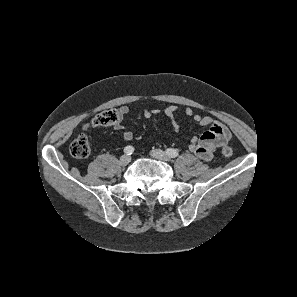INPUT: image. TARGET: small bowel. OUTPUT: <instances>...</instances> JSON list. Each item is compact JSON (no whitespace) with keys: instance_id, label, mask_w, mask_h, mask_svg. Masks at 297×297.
I'll list each match as a JSON object with an SVG mask.
<instances>
[{"instance_id":"c3829d8e","label":"small bowel","mask_w":297,"mask_h":297,"mask_svg":"<svg viewBox=\"0 0 297 297\" xmlns=\"http://www.w3.org/2000/svg\"><path fill=\"white\" fill-rule=\"evenodd\" d=\"M118 111L121 120L129 112V108L127 106H122ZM176 112L177 107L174 105H170L164 110L165 115L171 121L173 130L178 132L179 125L175 119ZM158 113L159 110L157 109H149L144 112V117L146 119H150ZM185 114L192 117L195 122L206 128L199 139L195 137L191 139L189 145L190 151L195 153L200 159L204 161H210L213 158V154L218 146L221 143L229 140V130L222 124L214 121L210 116H201L199 114H195L191 108H186ZM120 120L114 124V128L116 130H123V125L121 124ZM122 136L125 141H130L134 137L133 133L129 130H124Z\"/></svg>"}]
</instances>
